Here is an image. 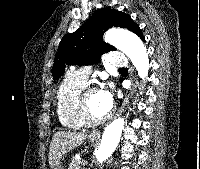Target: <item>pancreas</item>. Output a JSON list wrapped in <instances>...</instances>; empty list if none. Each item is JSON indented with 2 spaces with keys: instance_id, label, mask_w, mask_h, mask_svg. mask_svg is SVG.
Listing matches in <instances>:
<instances>
[{
  "instance_id": "1",
  "label": "pancreas",
  "mask_w": 200,
  "mask_h": 169,
  "mask_svg": "<svg viewBox=\"0 0 200 169\" xmlns=\"http://www.w3.org/2000/svg\"><path fill=\"white\" fill-rule=\"evenodd\" d=\"M81 165H82L81 160L73 158L68 169H85V168H81Z\"/></svg>"
}]
</instances>
